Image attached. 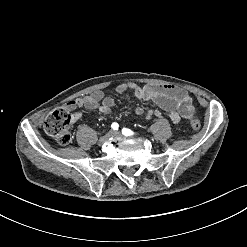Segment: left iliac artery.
<instances>
[{
  "instance_id": "44dca946",
  "label": "left iliac artery",
  "mask_w": 247,
  "mask_h": 247,
  "mask_svg": "<svg viewBox=\"0 0 247 247\" xmlns=\"http://www.w3.org/2000/svg\"><path fill=\"white\" fill-rule=\"evenodd\" d=\"M122 134L125 135V136H131L133 135V131H131L130 129H127V128H123L122 129Z\"/></svg>"
}]
</instances>
